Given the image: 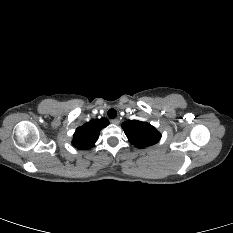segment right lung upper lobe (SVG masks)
Listing matches in <instances>:
<instances>
[{"label":"right lung upper lobe","mask_w":233,"mask_h":233,"mask_svg":"<svg viewBox=\"0 0 233 233\" xmlns=\"http://www.w3.org/2000/svg\"><path fill=\"white\" fill-rule=\"evenodd\" d=\"M109 121L106 118L95 119L78 127L74 133L72 144L80 150H86L94 147L98 140L100 130L106 127Z\"/></svg>","instance_id":"cb5924a9"}]
</instances>
